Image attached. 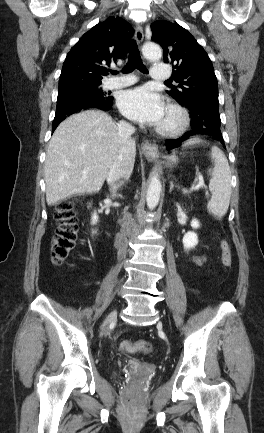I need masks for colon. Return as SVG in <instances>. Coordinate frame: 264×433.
Segmentation results:
<instances>
[{
    "instance_id": "obj_1",
    "label": "colon",
    "mask_w": 264,
    "mask_h": 433,
    "mask_svg": "<svg viewBox=\"0 0 264 433\" xmlns=\"http://www.w3.org/2000/svg\"><path fill=\"white\" fill-rule=\"evenodd\" d=\"M75 199H65L55 206L57 229L51 242V259L54 264H62L74 249L79 233V222L75 213ZM221 260L225 267L232 264L230 246L226 240L221 241ZM120 349L124 353L150 352L152 344L148 341H123Z\"/></svg>"
}]
</instances>
